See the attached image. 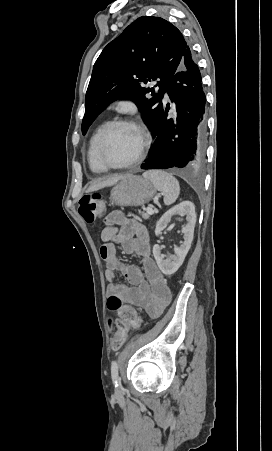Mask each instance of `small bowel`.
<instances>
[{"instance_id":"obj_1","label":"small bowel","mask_w":272,"mask_h":451,"mask_svg":"<svg viewBox=\"0 0 272 451\" xmlns=\"http://www.w3.org/2000/svg\"><path fill=\"white\" fill-rule=\"evenodd\" d=\"M100 238L99 253L105 262V278L109 281L108 296L118 295L121 301L146 310L150 316L160 315L171 302L172 294L152 258L146 228L114 211L106 216ZM116 245H120L124 253L140 257V264L123 262ZM117 273L126 279V284L114 282Z\"/></svg>"}]
</instances>
